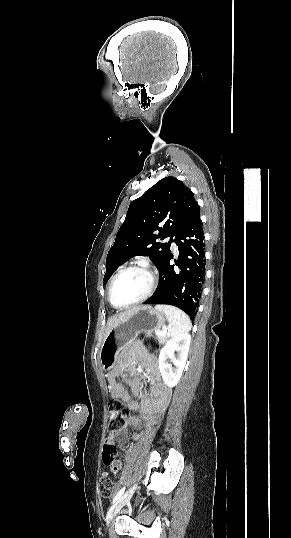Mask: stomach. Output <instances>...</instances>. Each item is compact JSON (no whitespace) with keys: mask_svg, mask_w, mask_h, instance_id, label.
I'll list each match as a JSON object with an SVG mask.
<instances>
[{"mask_svg":"<svg viewBox=\"0 0 291 538\" xmlns=\"http://www.w3.org/2000/svg\"><path fill=\"white\" fill-rule=\"evenodd\" d=\"M165 321L163 312L151 306L140 307L105 337L100 350L102 368L108 372L111 363H118L121 349L133 343L139 333H151L164 328Z\"/></svg>","mask_w":291,"mask_h":538,"instance_id":"obj_1","label":"stomach"}]
</instances>
